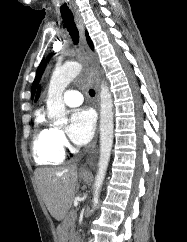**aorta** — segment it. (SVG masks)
Here are the masks:
<instances>
[{
	"label": "aorta",
	"instance_id": "762f6f07",
	"mask_svg": "<svg viewBox=\"0 0 187 242\" xmlns=\"http://www.w3.org/2000/svg\"><path fill=\"white\" fill-rule=\"evenodd\" d=\"M81 71L82 65L78 62L65 63L55 68L47 98L48 117L54 122L65 120L67 110L63 101V92ZM100 106V154L94 183L93 208L98 202L113 145V100L106 82L101 83Z\"/></svg>",
	"mask_w": 187,
	"mask_h": 242
}]
</instances>
